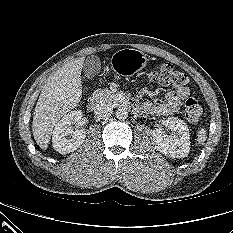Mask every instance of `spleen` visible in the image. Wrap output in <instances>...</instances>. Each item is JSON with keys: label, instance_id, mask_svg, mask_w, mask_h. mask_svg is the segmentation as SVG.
<instances>
[{"label": "spleen", "instance_id": "spleen-1", "mask_svg": "<svg viewBox=\"0 0 233 233\" xmlns=\"http://www.w3.org/2000/svg\"><path fill=\"white\" fill-rule=\"evenodd\" d=\"M206 129L204 128H200L198 131H197V141L200 145H203L204 142L206 141L207 139V135H206Z\"/></svg>", "mask_w": 233, "mask_h": 233}]
</instances>
